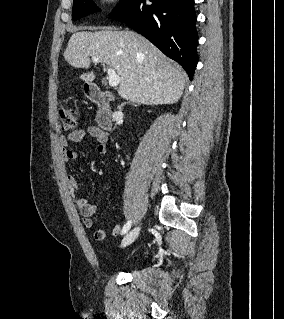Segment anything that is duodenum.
Here are the masks:
<instances>
[{"mask_svg":"<svg viewBox=\"0 0 284 319\" xmlns=\"http://www.w3.org/2000/svg\"><path fill=\"white\" fill-rule=\"evenodd\" d=\"M89 99L98 106L97 123L103 130H111L113 127L111 101L113 96L110 92L101 91L95 86L87 91Z\"/></svg>","mask_w":284,"mask_h":319,"instance_id":"1","label":"duodenum"}]
</instances>
